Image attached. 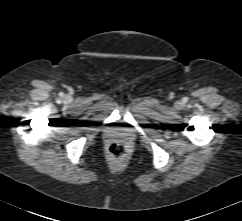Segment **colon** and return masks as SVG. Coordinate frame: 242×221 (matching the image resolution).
I'll return each instance as SVG.
<instances>
[{"instance_id":"colon-1","label":"colon","mask_w":242,"mask_h":221,"mask_svg":"<svg viewBox=\"0 0 242 221\" xmlns=\"http://www.w3.org/2000/svg\"><path fill=\"white\" fill-rule=\"evenodd\" d=\"M109 153L115 158H122L126 155V150L122 144L113 142L109 147Z\"/></svg>"}]
</instances>
